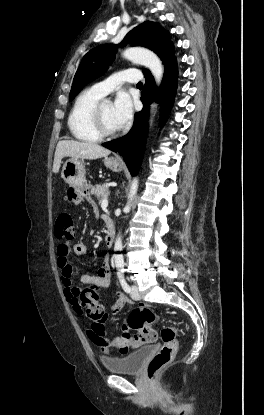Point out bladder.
Listing matches in <instances>:
<instances>
[{
	"instance_id": "obj_1",
	"label": "bladder",
	"mask_w": 264,
	"mask_h": 415,
	"mask_svg": "<svg viewBox=\"0 0 264 415\" xmlns=\"http://www.w3.org/2000/svg\"><path fill=\"white\" fill-rule=\"evenodd\" d=\"M154 351L155 345H148L126 356L103 358L102 365L109 372L137 374Z\"/></svg>"
}]
</instances>
